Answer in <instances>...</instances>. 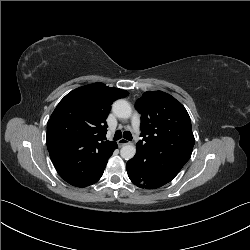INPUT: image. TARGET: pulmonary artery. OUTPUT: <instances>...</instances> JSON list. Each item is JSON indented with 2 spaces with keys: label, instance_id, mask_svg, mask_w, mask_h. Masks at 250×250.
I'll return each mask as SVG.
<instances>
[{
  "label": "pulmonary artery",
  "instance_id": "1",
  "mask_svg": "<svg viewBox=\"0 0 250 250\" xmlns=\"http://www.w3.org/2000/svg\"><path fill=\"white\" fill-rule=\"evenodd\" d=\"M132 125L137 133H139L140 117L137 112H134L132 116Z\"/></svg>",
  "mask_w": 250,
  "mask_h": 250
}]
</instances>
